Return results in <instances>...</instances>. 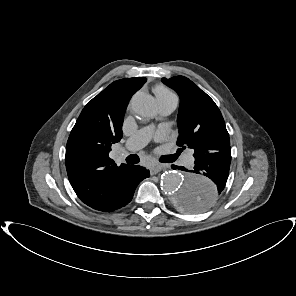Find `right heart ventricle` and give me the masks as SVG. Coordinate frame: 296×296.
Listing matches in <instances>:
<instances>
[{"instance_id":"right-heart-ventricle-1","label":"right heart ventricle","mask_w":296,"mask_h":296,"mask_svg":"<svg viewBox=\"0 0 296 296\" xmlns=\"http://www.w3.org/2000/svg\"><path fill=\"white\" fill-rule=\"evenodd\" d=\"M154 93H155L157 99L175 95L170 89H168L167 87H165L163 85L156 86L154 88Z\"/></svg>"}]
</instances>
